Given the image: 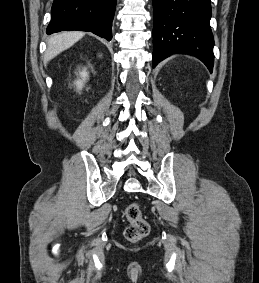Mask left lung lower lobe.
<instances>
[{"mask_svg": "<svg viewBox=\"0 0 259 283\" xmlns=\"http://www.w3.org/2000/svg\"><path fill=\"white\" fill-rule=\"evenodd\" d=\"M153 67L181 53L199 58L212 72L214 38L210 0H153Z\"/></svg>", "mask_w": 259, "mask_h": 283, "instance_id": "0a47b994", "label": "left lung lower lobe"}]
</instances>
